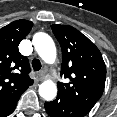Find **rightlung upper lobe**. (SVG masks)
Listing matches in <instances>:
<instances>
[{
	"label": "right lung upper lobe",
	"mask_w": 117,
	"mask_h": 117,
	"mask_svg": "<svg viewBox=\"0 0 117 117\" xmlns=\"http://www.w3.org/2000/svg\"><path fill=\"white\" fill-rule=\"evenodd\" d=\"M32 26L31 21L21 19L0 29V117L9 115L21 94L33 84L29 61L18 50Z\"/></svg>",
	"instance_id": "right-lung-upper-lobe-1"
}]
</instances>
